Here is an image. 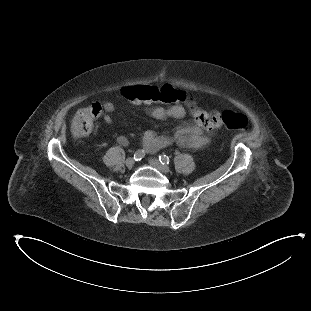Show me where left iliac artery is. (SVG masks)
Masks as SVG:
<instances>
[{
  "instance_id": "obj_1",
  "label": "left iliac artery",
  "mask_w": 311,
  "mask_h": 311,
  "mask_svg": "<svg viewBox=\"0 0 311 311\" xmlns=\"http://www.w3.org/2000/svg\"><path fill=\"white\" fill-rule=\"evenodd\" d=\"M159 161L162 163V164H169L170 163V158L166 155H160L159 156Z\"/></svg>"
}]
</instances>
